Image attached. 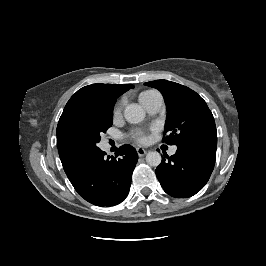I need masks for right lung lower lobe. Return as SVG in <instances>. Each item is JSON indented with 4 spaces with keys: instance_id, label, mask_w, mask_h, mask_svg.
Listing matches in <instances>:
<instances>
[{
    "instance_id": "right-lung-lower-lobe-1",
    "label": "right lung lower lobe",
    "mask_w": 266,
    "mask_h": 266,
    "mask_svg": "<svg viewBox=\"0 0 266 266\" xmlns=\"http://www.w3.org/2000/svg\"><path fill=\"white\" fill-rule=\"evenodd\" d=\"M99 150L92 155L80 174L71 181L78 194L97 206H114L128 195L138 155L130 145L119 148L118 154L105 156Z\"/></svg>"
}]
</instances>
